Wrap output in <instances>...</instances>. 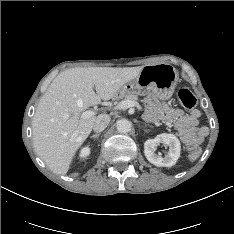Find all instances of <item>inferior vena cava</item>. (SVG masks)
Masks as SVG:
<instances>
[{
  "instance_id": "602c4592",
  "label": "inferior vena cava",
  "mask_w": 234,
  "mask_h": 234,
  "mask_svg": "<svg viewBox=\"0 0 234 234\" xmlns=\"http://www.w3.org/2000/svg\"><path fill=\"white\" fill-rule=\"evenodd\" d=\"M109 122H110V116L107 114H101L97 116L96 121L93 125V130L96 133H100L108 126Z\"/></svg>"
}]
</instances>
